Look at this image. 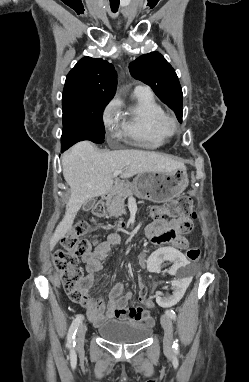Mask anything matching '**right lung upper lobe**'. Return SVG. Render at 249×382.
I'll return each mask as SVG.
<instances>
[{"mask_svg": "<svg viewBox=\"0 0 249 382\" xmlns=\"http://www.w3.org/2000/svg\"><path fill=\"white\" fill-rule=\"evenodd\" d=\"M114 67L103 59L84 57L66 78L62 108L85 104L94 100H111L116 91Z\"/></svg>", "mask_w": 249, "mask_h": 382, "instance_id": "obj_1", "label": "right lung upper lobe"}]
</instances>
